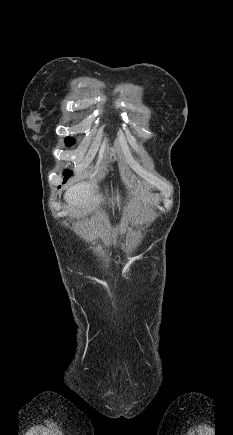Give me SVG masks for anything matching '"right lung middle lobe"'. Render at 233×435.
Here are the masks:
<instances>
[{
	"instance_id": "obj_1",
	"label": "right lung middle lobe",
	"mask_w": 233,
	"mask_h": 435,
	"mask_svg": "<svg viewBox=\"0 0 233 435\" xmlns=\"http://www.w3.org/2000/svg\"><path fill=\"white\" fill-rule=\"evenodd\" d=\"M66 143H67L68 146H70V145H72V144L75 143V139H74V138H70V137H68V138H66ZM71 175H72V172L69 171V170H66V171L64 172V176H65L66 178H68V177L71 176ZM65 182H66V180H64V183H65Z\"/></svg>"
}]
</instances>
